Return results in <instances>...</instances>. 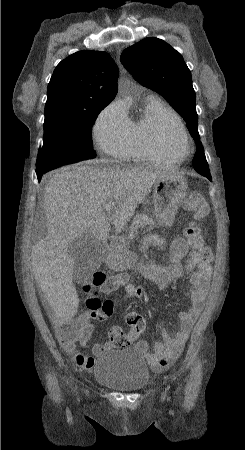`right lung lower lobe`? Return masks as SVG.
Instances as JSON below:
<instances>
[{"label":"right lung lower lobe","mask_w":245,"mask_h":450,"mask_svg":"<svg viewBox=\"0 0 245 450\" xmlns=\"http://www.w3.org/2000/svg\"><path fill=\"white\" fill-rule=\"evenodd\" d=\"M36 173H37V178H38V180L40 181L42 175H43L45 172H44V171H40V172H36Z\"/></svg>","instance_id":"1"}]
</instances>
